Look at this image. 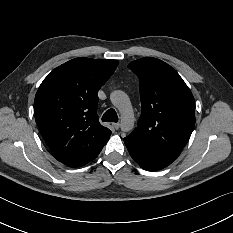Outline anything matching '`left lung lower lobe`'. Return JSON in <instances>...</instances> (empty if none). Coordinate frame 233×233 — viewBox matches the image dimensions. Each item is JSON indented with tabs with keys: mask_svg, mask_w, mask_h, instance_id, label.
<instances>
[{
	"mask_svg": "<svg viewBox=\"0 0 233 233\" xmlns=\"http://www.w3.org/2000/svg\"><path fill=\"white\" fill-rule=\"evenodd\" d=\"M131 157L144 169L156 171L170 165L178 155L160 150L129 135L124 138Z\"/></svg>",
	"mask_w": 233,
	"mask_h": 233,
	"instance_id": "left-lung-lower-lobe-1",
	"label": "left lung lower lobe"
}]
</instances>
